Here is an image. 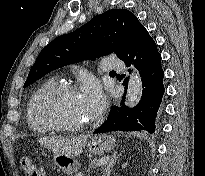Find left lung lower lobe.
Segmentation results:
<instances>
[{"mask_svg":"<svg viewBox=\"0 0 205 176\" xmlns=\"http://www.w3.org/2000/svg\"><path fill=\"white\" fill-rule=\"evenodd\" d=\"M120 59L127 67L134 64L139 70L143 86L141 100L134 108H128L124 105L123 96L120 105L111 108L107 121L94 133L146 130L152 134L155 132V119L164 94V71L157 45L144 26L136 31Z\"/></svg>","mask_w":205,"mask_h":176,"instance_id":"obj_1","label":"left lung lower lobe"}]
</instances>
